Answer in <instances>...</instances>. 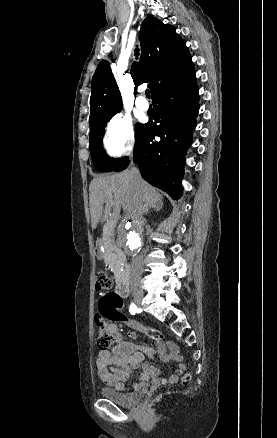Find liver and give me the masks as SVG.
<instances>
[{"mask_svg":"<svg viewBox=\"0 0 277 438\" xmlns=\"http://www.w3.org/2000/svg\"><path fill=\"white\" fill-rule=\"evenodd\" d=\"M89 190L92 230H96L103 214L104 220L107 218L110 206H114L116 210L123 208L126 216L131 220H137L143 210L162 202L161 194L144 180L133 190L128 172L106 178H94ZM103 204H106V210H103Z\"/></svg>","mask_w":277,"mask_h":438,"instance_id":"obj_1","label":"liver"}]
</instances>
